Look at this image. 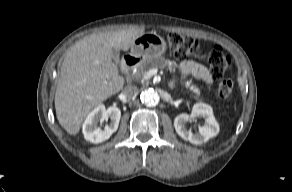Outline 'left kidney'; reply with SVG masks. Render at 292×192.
Returning <instances> with one entry per match:
<instances>
[{
	"label": "left kidney",
	"instance_id": "1",
	"mask_svg": "<svg viewBox=\"0 0 292 192\" xmlns=\"http://www.w3.org/2000/svg\"><path fill=\"white\" fill-rule=\"evenodd\" d=\"M194 118L204 119V125L199 127V132L196 134L186 128V122ZM174 127L182 139L195 145L202 144L219 133V124L213 115L212 107L203 102L194 104L191 115L185 113L178 115L174 119Z\"/></svg>",
	"mask_w": 292,
	"mask_h": 192
}]
</instances>
